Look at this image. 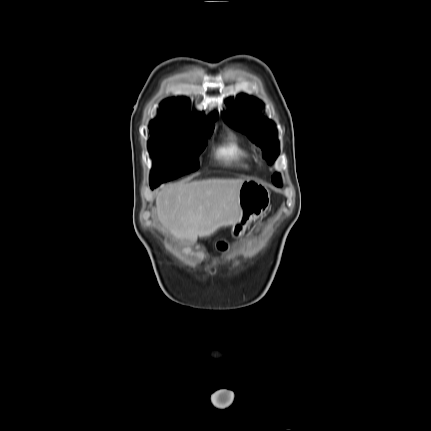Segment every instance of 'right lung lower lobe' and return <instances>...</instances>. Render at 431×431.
Masks as SVG:
<instances>
[{"mask_svg": "<svg viewBox=\"0 0 431 431\" xmlns=\"http://www.w3.org/2000/svg\"><path fill=\"white\" fill-rule=\"evenodd\" d=\"M150 186H151L152 189H154L157 185L150 183Z\"/></svg>", "mask_w": 431, "mask_h": 431, "instance_id": "98d812e1", "label": "right lung lower lobe"}]
</instances>
